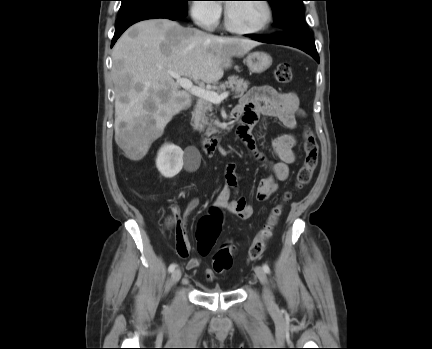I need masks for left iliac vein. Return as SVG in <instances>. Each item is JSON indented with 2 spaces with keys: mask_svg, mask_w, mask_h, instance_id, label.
I'll use <instances>...</instances> for the list:
<instances>
[{
  "mask_svg": "<svg viewBox=\"0 0 432 349\" xmlns=\"http://www.w3.org/2000/svg\"><path fill=\"white\" fill-rule=\"evenodd\" d=\"M255 273H256L258 279L260 280L261 284L264 286L263 298H264L265 303L270 307H274L275 301H274V297H273L270 289L267 286L266 272L261 267L257 266V267H255Z\"/></svg>",
  "mask_w": 432,
  "mask_h": 349,
  "instance_id": "1",
  "label": "left iliac vein"
}]
</instances>
